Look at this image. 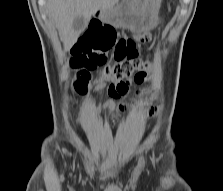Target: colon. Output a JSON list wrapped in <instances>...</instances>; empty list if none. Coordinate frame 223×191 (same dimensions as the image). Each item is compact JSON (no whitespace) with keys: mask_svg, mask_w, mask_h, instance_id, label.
Listing matches in <instances>:
<instances>
[{"mask_svg":"<svg viewBox=\"0 0 223 191\" xmlns=\"http://www.w3.org/2000/svg\"><path fill=\"white\" fill-rule=\"evenodd\" d=\"M109 50L113 52L115 63L105 65V53ZM70 64L80 69L75 87L81 95L88 92L90 71L97 67H102L101 79L112 83L126 82L131 76H134L135 82L140 83L152 67L150 62L138 57L133 39L117 37L109 25H94L80 37L71 49Z\"/></svg>","mask_w":223,"mask_h":191,"instance_id":"obj_1","label":"colon"}]
</instances>
